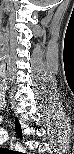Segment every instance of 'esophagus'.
<instances>
[{"instance_id": "esophagus-1", "label": "esophagus", "mask_w": 74, "mask_h": 154, "mask_svg": "<svg viewBox=\"0 0 74 154\" xmlns=\"http://www.w3.org/2000/svg\"><path fill=\"white\" fill-rule=\"evenodd\" d=\"M13 143V139H11V144Z\"/></svg>"}]
</instances>
